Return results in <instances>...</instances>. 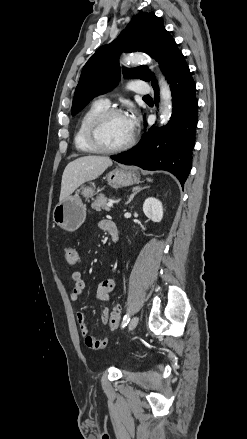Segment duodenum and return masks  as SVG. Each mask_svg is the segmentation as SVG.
Wrapping results in <instances>:
<instances>
[{
    "label": "duodenum",
    "mask_w": 247,
    "mask_h": 439,
    "mask_svg": "<svg viewBox=\"0 0 247 439\" xmlns=\"http://www.w3.org/2000/svg\"><path fill=\"white\" fill-rule=\"evenodd\" d=\"M108 232L111 236L112 241L116 242L119 238V232L117 226L113 222H111Z\"/></svg>",
    "instance_id": "1"
}]
</instances>
